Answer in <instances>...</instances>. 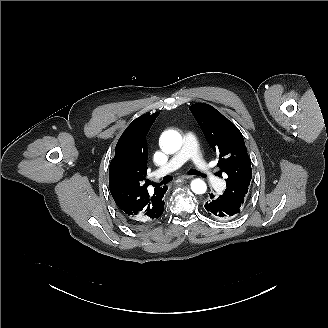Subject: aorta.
Here are the masks:
<instances>
[{"instance_id": "762f6f07", "label": "aorta", "mask_w": 328, "mask_h": 328, "mask_svg": "<svg viewBox=\"0 0 328 328\" xmlns=\"http://www.w3.org/2000/svg\"><path fill=\"white\" fill-rule=\"evenodd\" d=\"M160 143L166 152H176L182 146V136L174 130H169L161 135ZM191 189L196 194H203L207 190L206 183L201 179L191 182Z\"/></svg>"}]
</instances>
